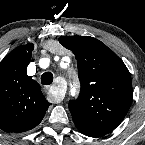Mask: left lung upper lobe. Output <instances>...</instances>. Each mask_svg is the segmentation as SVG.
<instances>
[{
  "mask_svg": "<svg viewBox=\"0 0 145 145\" xmlns=\"http://www.w3.org/2000/svg\"><path fill=\"white\" fill-rule=\"evenodd\" d=\"M59 42L76 57L81 90L69 101L79 130L105 135L126 116L132 101V81L123 61L101 41L87 36H63Z\"/></svg>",
  "mask_w": 145,
  "mask_h": 145,
  "instance_id": "obj_1",
  "label": "left lung upper lobe"
}]
</instances>
